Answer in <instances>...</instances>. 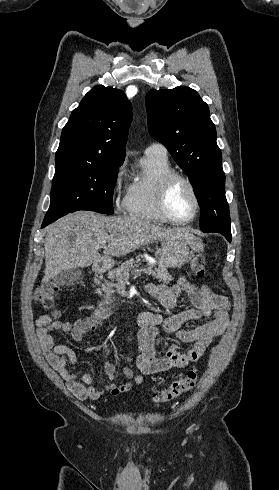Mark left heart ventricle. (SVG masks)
I'll return each instance as SVG.
<instances>
[{
	"mask_svg": "<svg viewBox=\"0 0 279 490\" xmlns=\"http://www.w3.org/2000/svg\"><path fill=\"white\" fill-rule=\"evenodd\" d=\"M170 210L178 220L188 219L194 210V199L189 186L185 182H178L170 196Z\"/></svg>",
	"mask_w": 279,
	"mask_h": 490,
	"instance_id": "1",
	"label": "left heart ventricle"
}]
</instances>
